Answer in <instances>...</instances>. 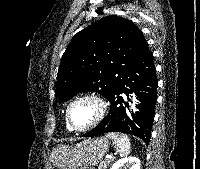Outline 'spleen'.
Wrapping results in <instances>:
<instances>
[{"mask_svg":"<svg viewBox=\"0 0 200 169\" xmlns=\"http://www.w3.org/2000/svg\"><path fill=\"white\" fill-rule=\"evenodd\" d=\"M107 138H110L116 146L117 152H119L120 156H126L130 154L131 151V143L130 139L127 135L110 132L106 134Z\"/></svg>","mask_w":200,"mask_h":169,"instance_id":"spleen-1","label":"spleen"}]
</instances>
